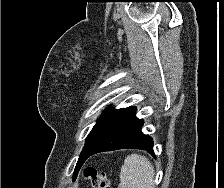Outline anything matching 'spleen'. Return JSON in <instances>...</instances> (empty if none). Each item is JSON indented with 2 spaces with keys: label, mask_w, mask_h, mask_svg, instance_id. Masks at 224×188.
Here are the masks:
<instances>
[{
  "label": "spleen",
  "mask_w": 224,
  "mask_h": 188,
  "mask_svg": "<svg viewBox=\"0 0 224 188\" xmlns=\"http://www.w3.org/2000/svg\"><path fill=\"white\" fill-rule=\"evenodd\" d=\"M154 167L141 155L131 154L126 157L121 167L118 188H154Z\"/></svg>",
  "instance_id": "1"
}]
</instances>
